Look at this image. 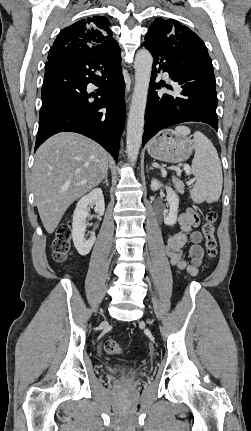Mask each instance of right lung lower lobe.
<instances>
[{
	"label": "right lung lower lobe",
	"instance_id": "98d812e1",
	"mask_svg": "<svg viewBox=\"0 0 251 431\" xmlns=\"http://www.w3.org/2000/svg\"><path fill=\"white\" fill-rule=\"evenodd\" d=\"M89 83L98 90L89 93ZM124 88L121 60L108 66L64 51L53 54L45 64L35 151L50 136L71 131L95 140L117 161L125 121Z\"/></svg>",
	"mask_w": 251,
	"mask_h": 431
}]
</instances>
